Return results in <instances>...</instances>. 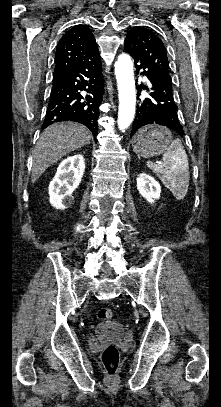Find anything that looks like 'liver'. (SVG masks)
I'll list each match as a JSON object with an SVG mask.
<instances>
[{
	"label": "liver",
	"mask_w": 221,
	"mask_h": 407,
	"mask_svg": "<svg viewBox=\"0 0 221 407\" xmlns=\"http://www.w3.org/2000/svg\"><path fill=\"white\" fill-rule=\"evenodd\" d=\"M91 137V132L78 123L62 122L47 127L33 152L32 183L62 157L87 145Z\"/></svg>",
	"instance_id": "obj_1"
}]
</instances>
